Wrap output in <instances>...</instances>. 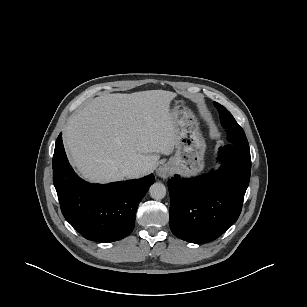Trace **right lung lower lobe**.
Masks as SVG:
<instances>
[{"instance_id": "obj_1", "label": "right lung lower lobe", "mask_w": 307, "mask_h": 307, "mask_svg": "<svg viewBox=\"0 0 307 307\" xmlns=\"http://www.w3.org/2000/svg\"><path fill=\"white\" fill-rule=\"evenodd\" d=\"M52 165L61 211L84 238L112 242L131 233L137 207L154 182L153 174L105 185L85 182L70 166L61 134L56 140Z\"/></svg>"}]
</instances>
